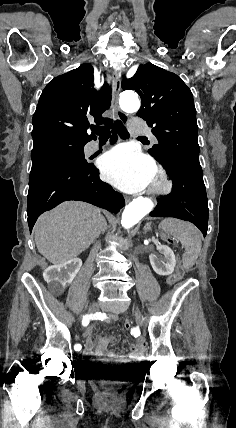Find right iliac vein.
Instances as JSON below:
<instances>
[{
    "label": "right iliac vein",
    "instance_id": "63e3f726",
    "mask_svg": "<svg viewBox=\"0 0 236 428\" xmlns=\"http://www.w3.org/2000/svg\"><path fill=\"white\" fill-rule=\"evenodd\" d=\"M91 307L89 308L90 310H89V314L92 312L93 314H94V312H95V309H94V307H96V302H91ZM94 329V326L93 325H90L89 326V328L87 329V331H83V336H88V333H91L92 332V330Z\"/></svg>",
    "mask_w": 236,
    "mask_h": 428
}]
</instances>
